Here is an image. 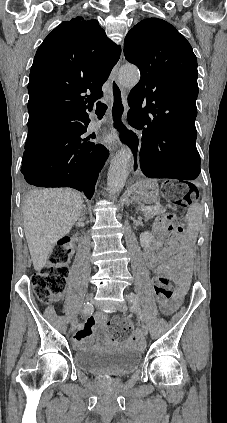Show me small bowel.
<instances>
[{
  "label": "small bowel",
  "mask_w": 227,
  "mask_h": 423,
  "mask_svg": "<svg viewBox=\"0 0 227 423\" xmlns=\"http://www.w3.org/2000/svg\"><path fill=\"white\" fill-rule=\"evenodd\" d=\"M168 250L163 247L161 243H155L152 248L145 254V263L152 269L156 275H164L170 273H178L176 278L178 279L180 285H184L188 282L189 279V268L187 265V254L183 253L179 256L174 257L168 262H164ZM181 299L180 296H176L171 301L163 302L160 304L161 311L165 315L172 314L180 305ZM106 323V315L102 312H98L95 315L89 317L83 327L79 329L74 337L75 344L78 347H83L91 339L94 329L97 326L103 327ZM105 341H110V338L104 335ZM131 342L140 341L139 333L134 334L131 339Z\"/></svg>",
  "instance_id": "c3829d8e"
}]
</instances>
